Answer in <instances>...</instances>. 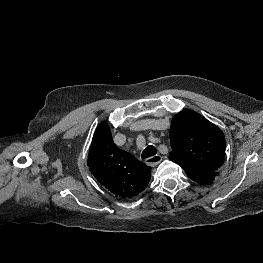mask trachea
I'll use <instances>...</instances> for the list:
<instances>
[{
	"label": "trachea",
	"mask_w": 263,
	"mask_h": 263,
	"mask_svg": "<svg viewBox=\"0 0 263 263\" xmlns=\"http://www.w3.org/2000/svg\"><path fill=\"white\" fill-rule=\"evenodd\" d=\"M156 153V148L153 145H149L143 150L141 157L145 159L154 156Z\"/></svg>",
	"instance_id": "3493384b"
}]
</instances>
